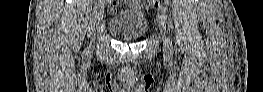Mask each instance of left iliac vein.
I'll list each match as a JSON object with an SVG mask.
<instances>
[{"label": "left iliac vein", "mask_w": 263, "mask_h": 92, "mask_svg": "<svg viewBox=\"0 0 263 92\" xmlns=\"http://www.w3.org/2000/svg\"><path fill=\"white\" fill-rule=\"evenodd\" d=\"M159 23H160V33L162 36L163 40V47L166 52H169L171 49V45L169 43V38H168V32L166 29L165 21H163V16H159Z\"/></svg>", "instance_id": "1"}]
</instances>
